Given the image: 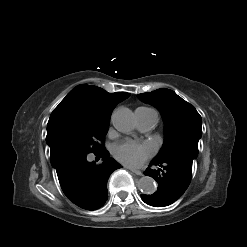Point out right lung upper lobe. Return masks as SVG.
I'll use <instances>...</instances> for the list:
<instances>
[{
	"label": "right lung upper lobe",
	"instance_id": "1",
	"mask_svg": "<svg viewBox=\"0 0 247 247\" xmlns=\"http://www.w3.org/2000/svg\"><path fill=\"white\" fill-rule=\"evenodd\" d=\"M129 96V93H108L102 88L82 84L71 90L61 103L74 102L95 117L110 119L114 107Z\"/></svg>",
	"mask_w": 247,
	"mask_h": 247
}]
</instances>
